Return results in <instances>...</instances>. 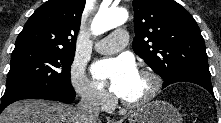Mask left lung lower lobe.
<instances>
[{
	"instance_id": "left-lung-lower-lobe-1",
	"label": "left lung lower lobe",
	"mask_w": 221,
	"mask_h": 123,
	"mask_svg": "<svg viewBox=\"0 0 221 123\" xmlns=\"http://www.w3.org/2000/svg\"><path fill=\"white\" fill-rule=\"evenodd\" d=\"M176 82H191L198 84L214 96L213 88L211 85V76H206L193 72L178 74L164 80L162 88H165L166 86Z\"/></svg>"
}]
</instances>
